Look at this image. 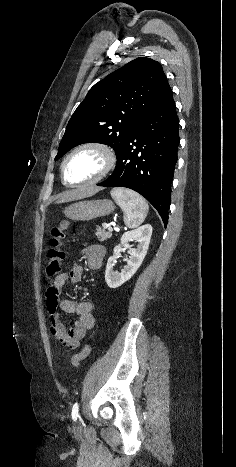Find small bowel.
<instances>
[{
	"label": "small bowel",
	"mask_w": 236,
	"mask_h": 467,
	"mask_svg": "<svg viewBox=\"0 0 236 467\" xmlns=\"http://www.w3.org/2000/svg\"><path fill=\"white\" fill-rule=\"evenodd\" d=\"M83 255L86 258L88 268L98 270L105 257V248L101 245H92L83 250ZM83 270V266L80 264L71 266L68 271L55 277L45 293L50 333L69 349L78 348L86 333L95 325L93 304L90 301L76 303L61 296L62 288L67 281L78 283L82 280ZM59 310L78 316L70 328H65L60 319Z\"/></svg>",
	"instance_id": "c3829d8e"
}]
</instances>
